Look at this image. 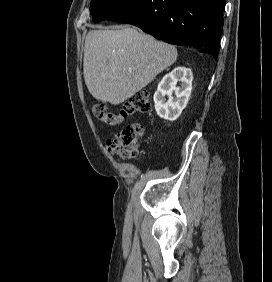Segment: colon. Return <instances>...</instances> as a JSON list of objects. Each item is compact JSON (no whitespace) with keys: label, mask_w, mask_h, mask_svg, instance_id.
Segmentation results:
<instances>
[{"label":"colon","mask_w":272,"mask_h":282,"mask_svg":"<svg viewBox=\"0 0 272 282\" xmlns=\"http://www.w3.org/2000/svg\"><path fill=\"white\" fill-rule=\"evenodd\" d=\"M151 107L148 94L137 92L123 104L118 113L112 112L106 104L95 105L93 112L105 124L118 126L129 116L135 113H146ZM142 134L143 128L140 124L125 125L106 140L107 149L122 160L134 159L139 152V139Z\"/></svg>","instance_id":"5ec220e1"}]
</instances>
